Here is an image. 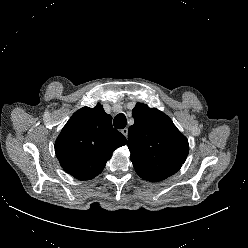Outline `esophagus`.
Returning <instances> with one entry per match:
<instances>
[{
	"mask_svg": "<svg viewBox=\"0 0 248 248\" xmlns=\"http://www.w3.org/2000/svg\"><path fill=\"white\" fill-rule=\"evenodd\" d=\"M121 133H122L125 137H127V135H128V128L122 129V130H121Z\"/></svg>",
	"mask_w": 248,
	"mask_h": 248,
	"instance_id": "34e87169",
	"label": "esophagus"
}]
</instances>
